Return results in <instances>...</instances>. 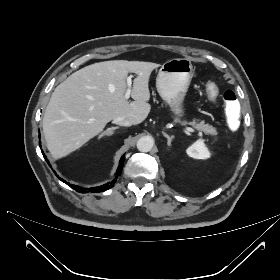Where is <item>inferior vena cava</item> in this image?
<instances>
[{"label":"inferior vena cava","instance_id":"inferior-vena-cava-1","mask_svg":"<svg viewBox=\"0 0 280 280\" xmlns=\"http://www.w3.org/2000/svg\"><path fill=\"white\" fill-rule=\"evenodd\" d=\"M113 123L114 124H117V125H120V126H125V127H128V126H131L132 125V122L124 117H117L113 120Z\"/></svg>","mask_w":280,"mask_h":280}]
</instances>
